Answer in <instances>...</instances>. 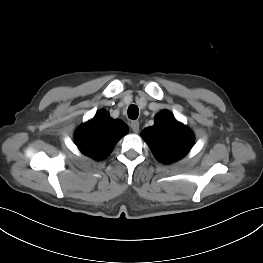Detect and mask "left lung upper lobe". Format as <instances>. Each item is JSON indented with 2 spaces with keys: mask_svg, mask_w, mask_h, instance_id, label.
I'll list each match as a JSON object with an SVG mask.
<instances>
[{
  "mask_svg": "<svg viewBox=\"0 0 263 263\" xmlns=\"http://www.w3.org/2000/svg\"><path fill=\"white\" fill-rule=\"evenodd\" d=\"M142 137L155 157L164 164L181 159L194 142L192 132L167 110L156 116L153 126L143 130Z\"/></svg>",
  "mask_w": 263,
  "mask_h": 263,
  "instance_id": "left-lung-upper-lobe-1",
  "label": "left lung upper lobe"
}]
</instances>
